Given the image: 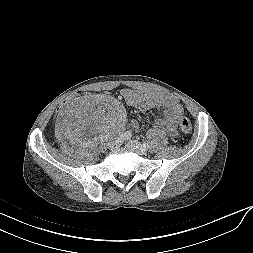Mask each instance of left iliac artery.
Here are the masks:
<instances>
[{"mask_svg": "<svg viewBox=\"0 0 253 253\" xmlns=\"http://www.w3.org/2000/svg\"><path fill=\"white\" fill-rule=\"evenodd\" d=\"M143 146H144V147H149V146H150V143H149L148 141H147V142H144V143H143Z\"/></svg>", "mask_w": 253, "mask_h": 253, "instance_id": "obj_1", "label": "left iliac artery"}]
</instances>
